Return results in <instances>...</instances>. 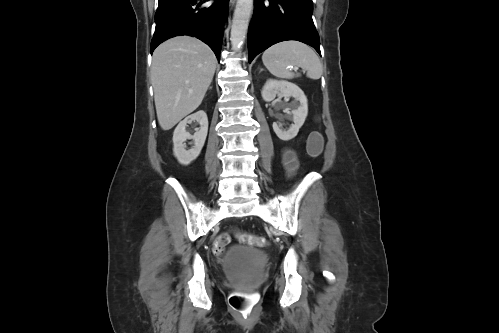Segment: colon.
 <instances>
[{"label":"colon","instance_id":"colon-1","mask_svg":"<svg viewBox=\"0 0 499 333\" xmlns=\"http://www.w3.org/2000/svg\"><path fill=\"white\" fill-rule=\"evenodd\" d=\"M323 150V136L319 131H312L307 140V153L312 158H317ZM235 236L242 242L249 245L262 247L267 244L264 237L253 235L246 232H235ZM231 234L223 232L219 234L213 241L212 250L216 256H221L226 246L230 243ZM258 302V298L253 293L236 291L229 297V304L236 312L247 316L251 313Z\"/></svg>","mask_w":499,"mask_h":333}]
</instances>
